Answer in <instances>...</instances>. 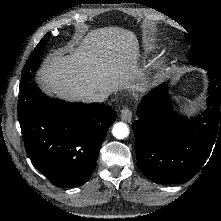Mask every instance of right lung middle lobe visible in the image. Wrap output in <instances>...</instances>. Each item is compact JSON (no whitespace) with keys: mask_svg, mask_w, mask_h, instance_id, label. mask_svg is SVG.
I'll use <instances>...</instances> for the list:
<instances>
[{"mask_svg":"<svg viewBox=\"0 0 221 221\" xmlns=\"http://www.w3.org/2000/svg\"><path fill=\"white\" fill-rule=\"evenodd\" d=\"M49 37L50 34L47 33L38 43L34 51L31 53L29 59L27 60L26 65L22 71L21 89L29 84L30 79L32 78V74L38 69L40 64L39 55H41Z\"/></svg>","mask_w":221,"mask_h":221,"instance_id":"obj_1","label":"right lung middle lobe"}]
</instances>
